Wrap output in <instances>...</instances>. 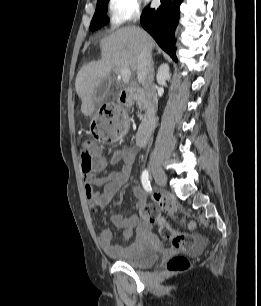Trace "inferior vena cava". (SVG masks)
Segmentation results:
<instances>
[{"instance_id":"inferior-vena-cava-1","label":"inferior vena cava","mask_w":261,"mask_h":306,"mask_svg":"<svg viewBox=\"0 0 261 306\" xmlns=\"http://www.w3.org/2000/svg\"><path fill=\"white\" fill-rule=\"evenodd\" d=\"M137 76L138 81L143 86L146 98L150 105L157 107V96L154 86V73L152 71L151 51L147 47H143L138 55L137 60Z\"/></svg>"}]
</instances>
